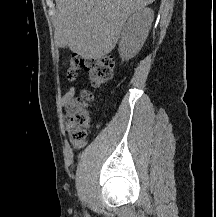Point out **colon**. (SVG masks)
<instances>
[{
    "label": "colon",
    "instance_id": "colon-1",
    "mask_svg": "<svg viewBox=\"0 0 216 217\" xmlns=\"http://www.w3.org/2000/svg\"><path fill=\"white\" fill-rule=\"evenodd\" d=\"M83 66V59L80 56L73 55L67 63L68 79L75 80L78 71ZM87 68L93 87L104 85L114 74V62L111 57L95 59L89 63ZM92 99L93 94L90 90H82L79 95L75 96L73 106L68 113L65 128L75 149H80L85 144L87 131L90 127L88 104Z\"/></svg>",
    "mask_w": 216,
    "mask_h": 217
}]
</instances>
